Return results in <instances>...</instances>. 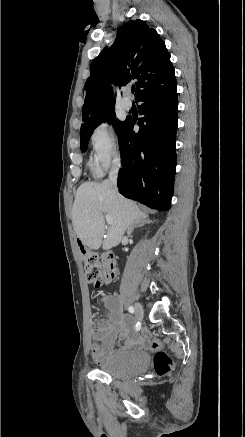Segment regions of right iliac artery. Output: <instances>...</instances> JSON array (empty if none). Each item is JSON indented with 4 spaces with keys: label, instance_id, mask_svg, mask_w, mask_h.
<instances>
[{
    "label": "right iliac artery",
    "instance_id": "right-iliac-artery-1",
    "mask_svg": "<svg viewBox=\"0 0 245 437\" xmlns=\"http://www.w3.org/2000/svg\"><path fill=\"white\" fill-rule=\"evenodd\" d=\"M128 310L130 313H132V314L134 313V308L132 306H129Z\"/></svg>",
    "mask_w": 245,
    "mask_h": 437
}]
</instances>
